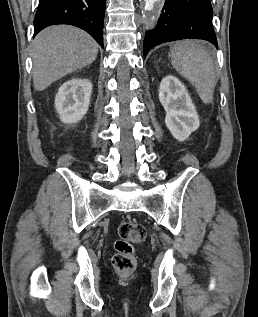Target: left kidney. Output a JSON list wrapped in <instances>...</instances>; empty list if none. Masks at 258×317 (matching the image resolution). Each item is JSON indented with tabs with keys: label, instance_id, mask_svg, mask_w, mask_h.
<instances>
[{
	"label": "left kidney",
	"instance_id": "left-kidney-1",
	"mask_svg": "<svg viewBox=\"0 0 258 317\" xmlns=\"http://www.w3.org/2000/svg\"><path fill=\"white\" fill-rule=\"evenodd\" d=\"M159 100L166 110L165 122L177 140H186L197 130L200 120L184 84L173 74H167L160 82Z\"/></svg>",
	"mask_w": 258,
	"mask_h": 317
}]
</instances>
